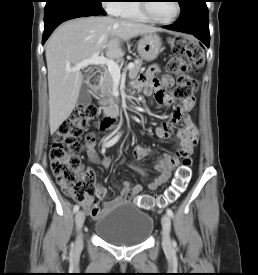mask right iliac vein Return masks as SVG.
Masks as SVG:
<instances>
[{
    "mask_svg": "<svg viewBox=\"0 0 258 275\" xmlns=\"http://www.w3.org/2000/svg\"><path fill=\"white\" fill-rule=\"evenodd\" d=\"M75 221H76L77 229H78V231H79L78 237H77V241H76V246H77V248H79V247L82 246V234H81V229H82V226H83L84 221H85V214H84L83 211H78V212L76 213Z\"/></svg>",
    "mask_w": 258,
    "mask_h": 275,
    "instance_id": "right-iliac-vein-1",
    "label": "right iliac vein"
}]
</instances>
